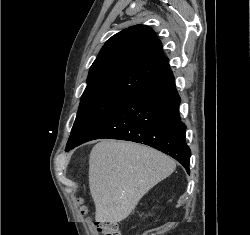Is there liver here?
<instances>
[{"label": "liver", "mask_w": 250, "mask_h": 235, "mask_svg": "<svg viewBox=\"0 0 250 235\" xmlns=\"http://www.w3.org/2000/svg\"><path fill=\"white\" fill-rule=\"evenodd\" d=\"M175 161L151 147L102 140L89 156V188L97 222L117 223L127 218L139 200L171 175Z\"/></svg>", "instance_id": "liver-1"}]
</instances>
